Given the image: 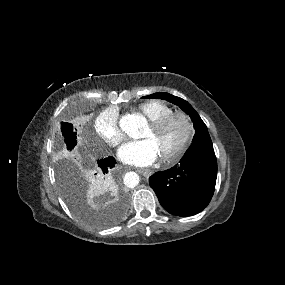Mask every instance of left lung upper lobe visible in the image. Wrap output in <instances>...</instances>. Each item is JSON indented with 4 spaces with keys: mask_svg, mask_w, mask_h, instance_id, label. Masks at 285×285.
Wrapping results in <instances>:
<instances>
[{
    "mask_svg": "<svg viewBox=\"0 0 285 285\" xmlns=\"http://www.w3.org/2000/svg\"><path fill=\"white\" fill-rule=\"evenodd\" d=\"M142 98L167 100L175 105H178L186 114H188L191 117V120L193 121L194 129H195V135H194L193 143L189 149L199 144L211 142V138L209 136L205 123L202 121V119L200 118L198 113L195 111V109L184 99L173 96L169 93H163V92L154 93V94L142 97Z\"/></svg>",
    "mask_w": 285,
    "mask_h": 285,
    "instance_id": "left-lung-upper-lobe-1",
    "label": "left lung upper lobe"
}]
</instances>
